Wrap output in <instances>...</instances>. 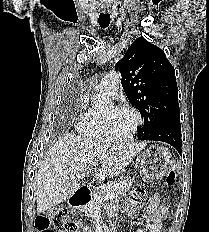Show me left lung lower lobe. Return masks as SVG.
Here are the masks:
<instances>
[{"label":"left lung lower lobe","mask_w":209,"mask_h":232,"mask_svg":"<svg viewBox=\"0 0 209 232\" xmlns=\"http://www.w3.org/2000/svg\"><path fill=\"white\" fill-rule=\"evenodd\" d=\"M140 140L161 141L172 145L181 154V124L180 118L165 122L148 137H139Z\"/></svg>","instance_id":"left-lung-lower-lobe-1"}]
</instances>
